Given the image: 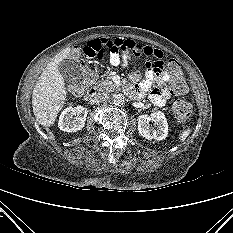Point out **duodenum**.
<instances>
[{
  "mask_svg": "<svg viewBox=\"0 0 233 233\" xmlns=\"http://www.w3.org/2000/svg\"><path fill=\"white\" fill-rule=\"evenodd\" d=\"M97 90L95 87H88L83 91V96L87 100H91L95 97ZM130 93V92H129Z\"/></svg>",
  "mask_w": 233,
  "mask_h": 233,
  "instance_id": "1",
  "label": "duodenum"
}]
</instances>
